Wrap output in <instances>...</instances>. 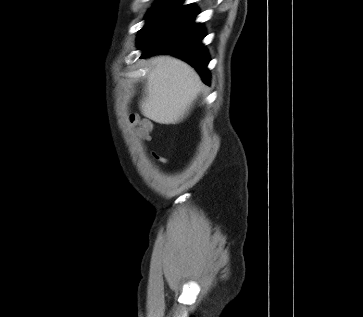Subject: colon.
Segmentation results:
<instances>
[{"label": "colon", "instance_id": "1", "mask_svg": "<svg viewBox=\"0 0 363 317\" xmlns=\"http://www.w3.org/2000/svg\"><path fill=\"white\" fill-rule=\"evenodd\" d=\"M131 122L136 125L137 129L139 130V132L141 133L142 136H146L151 128V123L147 119H141V118L132 116Z\"/></svg>", "mask_w": 363, "mask_h": 317}]
</instances>
